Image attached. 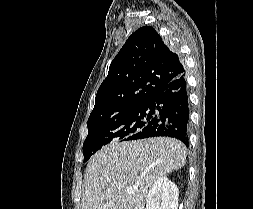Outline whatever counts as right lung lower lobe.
<instances>
[{
    "instance_id": "1",
    "label": "right lung lower lobe",
    "mask_w": 253,
    "mask_h": 209,
    "mask_svg": "<svg viewBox=\"0 0 253 209\" xmlns=\"http://www.w3.org/2000/svg\"><path fill=\"white\" fill-rule=\"evenodd\" d=\"M149 106L154 111L153 118L128 140L166 136L188 147L189 103L185 72L167 84Z\"/></svg>"
}]
</instances>
